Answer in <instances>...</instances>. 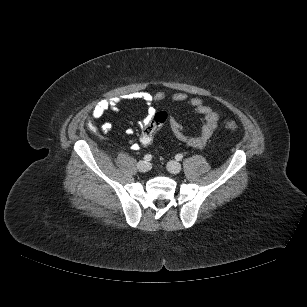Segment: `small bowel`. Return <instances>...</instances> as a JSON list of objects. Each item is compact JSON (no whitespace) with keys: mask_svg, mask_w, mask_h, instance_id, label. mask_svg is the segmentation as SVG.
I'll use <instances>...</instances> for the list:
<instances>
[{"mask_svg":"<svg viewBox=\"0 0 307 307\" xmlns=\"http://www.w3.org/2000/svg\"><path fill=\"white\" fill-rule=\"evenodd\" d=\"M167 97L166 93L163 91L157 92L155 94H150L148 92H139L135 94L126 95L124 99H140L147 104V113L146 116L139 121V126L141 129L147 127L153 116L156 113L155 104L162 102ZM170 101L172 102H186L197 114L201 115L203 118V123L200 128V131L194 135H187L182 127V125L175 119L171 118L169 120V126L174 134V136L188 144L193 148H202L205 146L207 141L210 139L216 128L218 127L219 115L212 109V107L203 102L202 99L194 97L188 98L185 93H175L170 96ZM119 100L112 98L106 99L99 102L92 111V116L95 119L103 117L107 112H117ZM92 129H95L91 125ZM112 128L110 122H105L102 125V132L108 134ZM126 133L128 135L133 133L132 128H127Z\"/></svg>","mask_w":307,"mask_h":307,"instance_id":"small-bowel-1","label":"small bowel"}]
</instances>
